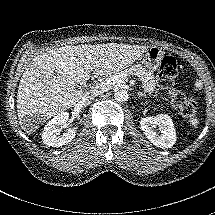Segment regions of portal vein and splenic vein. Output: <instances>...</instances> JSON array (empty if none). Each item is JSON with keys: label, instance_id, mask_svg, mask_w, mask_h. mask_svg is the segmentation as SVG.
<instances>
[{"label": "portal vein and splenic vein", "instance_id": "obj_1", "mask_svg": "<svg viewBox=\"0 0 215 215\" xmlns=\"http://www.w3.org/2000/svg\"><path fill=\"white\" fill-rule=\"evenodd\" d=\"M117 78L115 77H110L106 80V82H101L99 85H97L96 87H102L104 85H108V84H114V83H117V82H120L122 81L123 79V75H116Z\"/></svg>", "mask_w": 215, "mask_h": 215}]
</instances>
